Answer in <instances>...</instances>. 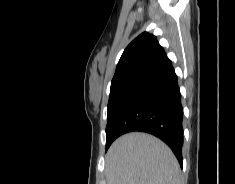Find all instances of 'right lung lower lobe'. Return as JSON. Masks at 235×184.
Returning <instances> with one entry per match:
<instances>
[{"instance_id":"obj_1","label":"right lung lower lobe","mask_w":235,"mask_h":184,"mask_svg":"<svg viewBox=\"0 0 235 184\" xmlns=\"http://www.w3.org/2000/svg\"><path fill=\"white\" fill-rule=\"evenodd\" d=\"M182 121L178 78L167 58L128 89L113 116L110 130L115 139L133 131L160 138L182 167Z\"/></svg>"}]
</instances>
